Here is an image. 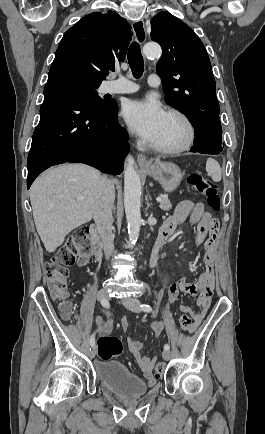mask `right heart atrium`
<instances>
[{
	"mask_svg": "<svg viewBox=\"0 0 265 434\" xmlns=\"http://www.w3.org/2000/svg\"><path fill=\"white\" fill-rule=\"evenodd\" d=\"M128 137H129V139H130V140H132V141H133V140H135V139H136V137H137V136H136V134H135V133H133V132H132V133H130V134H129V136H128Z\"/></svg>",
	"mask_w": 265,
	"mask_h": 434,
	"instance_id": "1",
	"label": "right heart atrium"
}]
</instances>
